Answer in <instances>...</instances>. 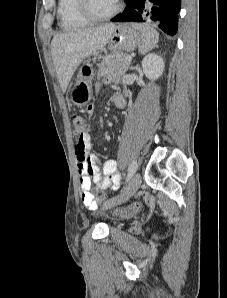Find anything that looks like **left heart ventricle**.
Segmentation results:
<instances>
[{
	"mask_svg": "<svg viewBox=\"0 0 227 298\" xmlns=\"http://www.w3.org/2000/svg\"><path fill=\"white\" fill-rule=\"evenodd\" d=\"M90 1V7L92 11L96 15H106L109 12H111L116 4L117 0H89Z\"/></svg>",
	"mask_w": 227,
	"mask_h": 298,
	"instance_id": "left-heart-ventricle-1",
	"label": "left heart ventricle"
}]
</instances>
